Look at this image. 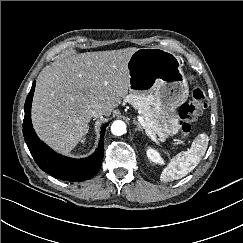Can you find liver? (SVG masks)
I'll return each instance as SVG.
<instances>
[{"label": "liver", "instance_id": "6515ba94", "mask_svg": "<svg viewBox=\"0 0 243 243\" xmlns=\"http://www.w3.org/2000/svg\"><path fill=\"white\" fill-rule=\"evenodd\" d=\"M137 48L69 55L38 76L32 123L40 139L55 151L70 152L88 132L94 103L109 116L130 88L127 68Z\"/></svg>", "mask_w": 243, "mask_h": 243}]
</instances>
